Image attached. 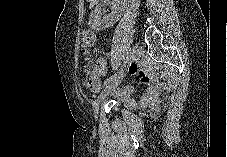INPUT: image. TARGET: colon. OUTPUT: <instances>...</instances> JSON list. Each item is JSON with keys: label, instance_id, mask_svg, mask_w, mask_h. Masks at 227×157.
<instances>
[{"label": "colon", "instance_id": "obj_1", "mask_svg": "<svg viewBox=\"0 0 227 157\" xmlns=\"http://www.w3.org/2000/svg\"><path fill=\"white\" fill-rule=\"evenodd\" d=\"M81 41H82L83 47L85 48V52H84L85 62L83 64V72L85 74L84 81H85V84L88 86L91 83L92 72H93L92 69L94 66V56L89 52V49L96 45L97 35L91 29H84L82 31Z\"/></svg>", "mask_w": 227, "mask_h": 157}]
</instances>
